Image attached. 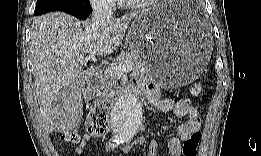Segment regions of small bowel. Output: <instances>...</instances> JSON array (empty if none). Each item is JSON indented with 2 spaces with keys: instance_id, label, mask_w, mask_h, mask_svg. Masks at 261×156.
I'll return each instance as SVG.
<instances>
[{
  "instance_id": "c3829d8e",
  "label": "small bowel",
  "mask_w": 261,
  "mask_h": 156,
  "mask_svg": "<svg viewBox=\"0 0 261 156\" xmlns=\"http://www.w3.org/2000/svg\"><path fill=\"white\" fill-rule=\"evenodd\" d=\"M132 87L136 92L143 94L156 109L161 112H173L177 117H186L187 121L180 123L176 127V134L168 141V154L170 156H180L182 151L181 141L187 140L192 134L200 131L201 115L198 109L192 104L188 98H181L177 101L171 98H160L157 87L145 82L142 79H134ZM91 136L84 134L79 145L75 148V155L82 156L89 146ZM139 145H144V139L136 140ZM157 142L152 140L148 147V155L156 156Z\"/></svg>"
}]
</instances>
